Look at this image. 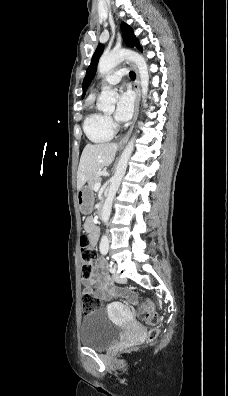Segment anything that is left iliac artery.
Here are the masks:
<instances>
[{
  "mask_svg": "<svg viewBox=\"0 0 228 396\" xmlns=\"http://www.w3.org/2000/svg\"><path fill=\"white\" fill-rule=\"evenodd\" d=\"M103 255H106V252H104ZM109 266H110L109 271L111 273H114L115 272V268L112 266V264H110Z\"/></svg>",
  "mask_w": 228,
  "mask_h": 396,
  "instance_id": "obj_1",
  "label": "left iliac artery"
}]
</instances>
